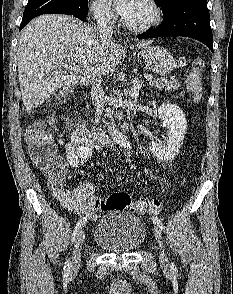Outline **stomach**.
Returning <instances> with one entry per match:
<instances>
[{"label":"stomach","instance_id":"stomach-1","mask_svg":"<svg viewBox=\"0 0 233 294\" xmlns=\"http://www.w3.org/2000/svg\"><path fill=\"white\" fill-rule=\"evenodd\" d=\"M138 55L144 59L145 63L154 73L161 76L170 73L176 65L171 53L160 46L142 48Z\"/></svg>","mask_w":233,"mask_h":294}]
</instances>
